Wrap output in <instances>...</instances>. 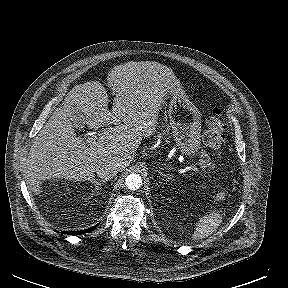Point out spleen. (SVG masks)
<instances>
[{"instance_id":"3e777b00","label":"spleen","mask_w":288,"mask_h":288,"mask_svg":"<svg viewBox=\"0 0 288 288\" xmlns=\"http://www.w3.org/2000/svg\"><path fill=\"white\" fill-rule=\"evenodd\" d=\"M221 222L222 217L218 213H211L202 216L196 223L191 239L195 241L208 237L218 228Z\"/></svg>"}]
</instances>
